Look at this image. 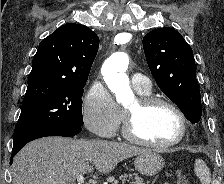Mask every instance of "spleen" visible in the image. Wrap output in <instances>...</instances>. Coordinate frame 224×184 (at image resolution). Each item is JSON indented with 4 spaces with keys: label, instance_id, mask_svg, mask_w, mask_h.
Instances as JSON below:
<instances>
[{
    "label": "spleen",
    "instance_id": "obj_1",
    "mask_svg": "<svg viewBox=\"0 0 224 184\" xmlns=\"http://www.w3.org/2000/svg\"><path fill=\"white\" fill-rule=\"evenodd\" d=\"M194 171L202 184H210L211 174L206 163L202 159H196Z\"/></svg>",
    "mask_w": 224,
    "mask_h": 184
}]
</instances>
